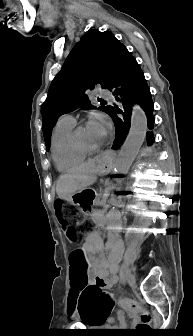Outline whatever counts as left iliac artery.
<instances>
[{
  "mask_svg": "<svg viewBox=\"0 0 193 336\" xmlns=\"http://www.w3.org/2000/svg\"><path fill=\"white\" fill-rule=\"evenodd\" d=\"M124 270L122 269L121 271H120V277H121V279L123 280L124 279Z\"/></svg>",
  "mask_w": 193,
  "mask_h": 336,
  "instance_id": "left-iliac-artery-1",
  "label": "left iliac artery"
}]
</instances>
